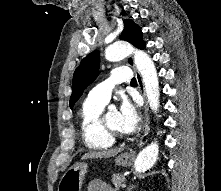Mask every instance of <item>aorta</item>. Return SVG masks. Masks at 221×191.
I'll return each mask as SVG.
<instances>
[{
	"instance_id": "1",
	"label": "aorta",
	"mask_w": 221,
	"mask_h": 191,
	"mask_svg": "<svg viewBox=\"0 0 221 191\" xmlns=\"http://www.w3.org/2000/svg\"><path fill=\"white\" fill-rule=\"evenodd\" d=\"M134 54V63L142 76L148 103L153 112H157L159 108V80L157 71L152 59L142 50L134 49L126 42H115L105 50V57L108 61H119L130 54ZM159 153V145L157 141L152 142L145 147L137 156L135 161V169L138 172L149 170L156 162Z\"/></svg>"
}]
</instances>
